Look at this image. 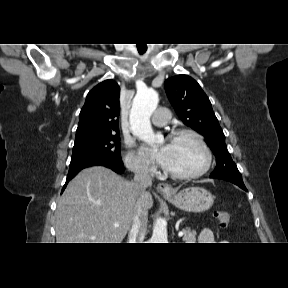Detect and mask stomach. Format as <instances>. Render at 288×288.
<instances>
[{
	"mask_svg": "<svg viewBox=\"0 0 288 288\" xmlns=\"http://www.w3.org/2000/svg\"><path fill=\"white\" fill-rule=\"evenodd\" d=\"M177 208L187 212H203L214 203V196L205 188L188 187L175 194L164 195Z\"/></svg>",
	"mask_w": 288,
	"mask_h": 288,
	"instance_id": "obj_1",
	"label": "stomach"
}]
</instances>
